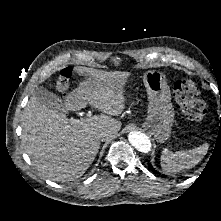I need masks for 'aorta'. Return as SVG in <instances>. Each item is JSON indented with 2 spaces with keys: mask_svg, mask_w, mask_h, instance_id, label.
<instances>
[{
  "mask_svg": "<svg viewBox=\"0 0 221 221\" xmlns=\"http://www.w3.org/2000/svg\"><path fill=\"white\" fill-rule=\"evenodd\" d=\"M130 144L138 151L147 153L151 149L150 139L143 133L131 131L128 135Z\"/></svg>",
  "mask_w": 221,
  "mask_h": 221,
  "instance_id": "762f6f07",
  "label": "aorta"
}]
</instances>
